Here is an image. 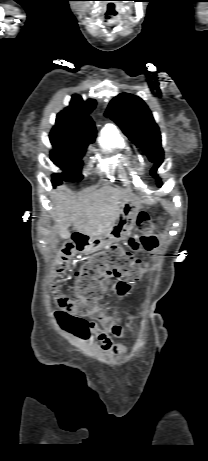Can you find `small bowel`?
I'll list each match as a JSON object with an SVG mask.
<instances>
[{
    "instance_id": "c3829d8e",
    "label": "small bowel",
    "mask_w": 208,
    "mask_h": 461,
    "mask_svg": "<svg viewBox=\"0 0 208 461\" xmlns=\"http://www.w3.org/2000/svg\"><path fill=\"white\" fill-rule=\"evenodd\" d=\"M102 288L107 289V284H102ZM111 289L116 295L125 297L134 290V286L130 282L118 280ZM90 316L95 321L87 323V336L85 339H88L89 333H91L100 342V349L102 352L106 354H117L122 352L123 349L116 345L112 338V336L122 337L124 334L118 316L108 313L100 306H96Z\"/></svg>"
}]
</instances>
